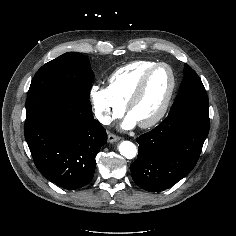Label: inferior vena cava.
Wrapping results in <instances>:
<instances>
[{
  "label": "inferior vena cava",
  "instance_id": "inferior-vena-cava-1",
  "mask_svg": "<svg viewBox=\"0 0 236 236\" xmlns=\"http://www.w3.org/2000/svg\"><path fill=\"white\" fill-rule=\"evenodd\" d=\"M96 117L99 120L100 123L104 125H109L111 123V117L107 115H103L99 112H96Z\"/></svg>",
  "mask_w": 236,
  "mask_h": 236
}]
</instances>
